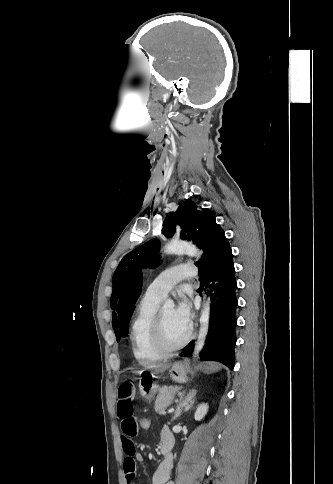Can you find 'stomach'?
Instances as JSON below:
<instances>
[{"label": "stomach", "mask_w": 333, "mask_h": 484, "mask_svg": "<svg viewBox=\"0 0 333 484\" xmlns=\"http://www.w3.org/2000/svg\"><path fill=\"white\" fill-rule=\"evenodd\" d=\"M205 371L208 373L215 372L219 369L216 364H206L204 365ZM187 371V363L185 362H176L169 366L168 372L170 378L178 383H183L187 381L186 377ZM139 389L140 395L147 399L151 400L154 395L158 392L159 387L156 385L151 379L142 378L139 381Z\"/></svg>", "instance_id": "obj_1"}]
</instances>
